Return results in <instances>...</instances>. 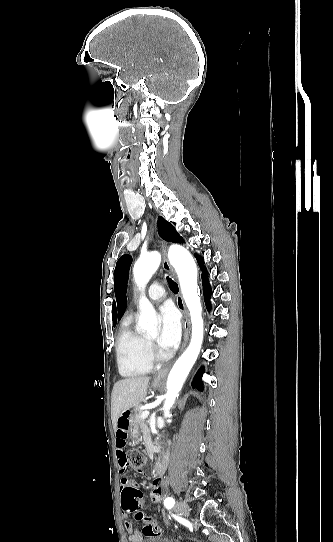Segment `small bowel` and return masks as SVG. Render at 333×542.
I'll list each match as a JSON object with an SVG mask.
<instances>
[{"mask_svg":"<svg viewBox=\"0 0 333 542\" xmlns=\"http://www.w3.org/2000/svg\"><path fill=\"white\" fill-rule=\"evenodd\" d=\"M122 416L119 417L116 424V430H115V437H116V449H117V458H118V464H119V470L120 472H125L127 468V455L125 453V448L127 446V437H128V431H129V417L127 416L129 414L128 408L122 409ZM151 490L149 498L153 503H159L166 492V483L163 479V477L154 476L151 480ZM132 487L129 479L125 476L121 477L120 480V489H121V497L123 500V497H131V490ZM152 525H154L158 529V533L161 535V530L157 527L155 521H151ZM123 526L125 530L129 533V542H143V536L142 534L136 530L133 527L132 522L126 520L123 523ZM157 537V536H156Z\"/></svg>","mask_w":333,"mask_h":542,"instance_id":"small-bowel-1","label":"small bowel"}]
</instances>
